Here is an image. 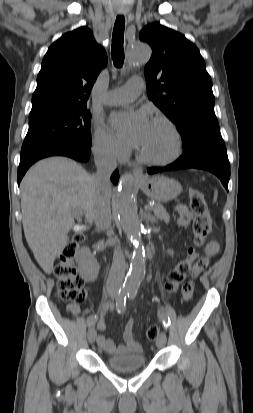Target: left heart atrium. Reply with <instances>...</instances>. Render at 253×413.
<instances>
[{
    "mask_svg": "<svg viewBox=\"0 0 253 413\" xmlns=\"http://www.w3.org/2000/svg\"><path fill=\"white\" fill-rule=\"evenodd\" d=\"M111 121L120 136L137 147L143 143L151 124L143 112L113 115Z\"/></svg>",
    "mask_w": 253,
    "mask_h": 413,
    "instance_id": "left-heart-atrium-1",
    "label": "left heart atrium"
}]
</instances>
